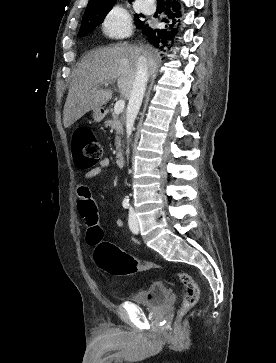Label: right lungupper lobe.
<instances>
[{"mask_svg": "<svg viewBox=\"0 0 276 363\" xmlns=\"http://www.w3.org/2000/svg\"><path fill=\"white\" fill-rule=\"evenodd\" d=\"M117 0H90L88 6L90 5H97V4H104V3H112L116 2ZM130 2L133 0H129Z\"/></svg>", "mask_w": 276, "mask_h": 363, "instance_id": "1", "label": "right lung upper lobe"}]
</instances>
